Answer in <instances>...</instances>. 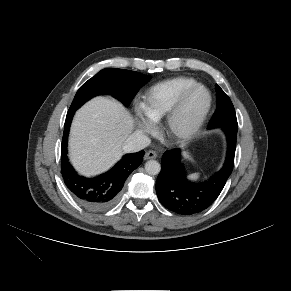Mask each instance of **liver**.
<instances>
[{"instance_id":"obj_1","label":"liver","mask_w":291,"mask_h":291,"mask_svg":"<svg viewBox=\"0 0 291 291\" xmlns=\"http://www.w3.org/2000/svg\"><path fill=\"white\" fill-rule=\"evenodd\" d=\"M134 129V120L123 105L96 97L75 114L69 139L75 169L86 176L106 171L123 154V144Z\"/></svg>"}]
</instances>
